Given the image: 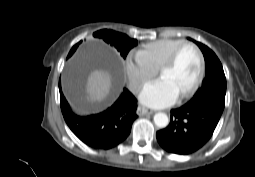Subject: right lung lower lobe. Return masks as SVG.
Instances as JSON below:
<instances>
[{"label": "right lung lower lobe", "mask_w": 255, "mask_h": 177, "mask_svg": "<svg viewBox=\"0 0 255 177\" xmlns=\"http://www.w3.org/2000/svg\"><path fill=\"white\" fill-rule=\"evenodd\" d=\"M59 90L61 110L67 125L89 147L108 150L130 134L132 123L137 118V100L126 88L111 107L89 116L75 114L62 93L60 83Z\"/></svg>", "instance_id": "right-lung-lower-lobe-1"}]
</instances>
